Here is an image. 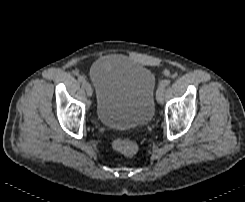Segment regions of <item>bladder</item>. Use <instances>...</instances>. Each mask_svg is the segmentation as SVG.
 I'll use <instances>...</instances> for the list:
<instances>
[{"instance_id": "1", "label": "bladder", "mask_w": 245, "mask_h": 202, "mask_svg": "<svg viewBox=\"0 0 245 202\" xmlns=\"http://www.w3.org/2000/svg\"><path fill=\"white\" fill-rule=\"evenodd\" d=\"M97 120L112 129L146 126L154 116L153 73L134 61L97 62L90 70Z\"/></svg>"}]
</instances>
